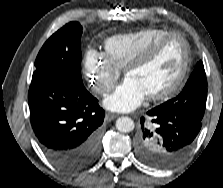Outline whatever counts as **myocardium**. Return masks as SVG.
I'll use <instances>...</instances> for the list:
<instances>
[{
    "mask_svg": "<svg viewBox=\"0 0 223 188\" xmlns=\"http://www.w3.org/2000/svg\"><path fill=\"white\" fill-rule=\"evenodd\" d=\"M172 37L179 38L184 46V60L180 73L176 80L169 87L162 90L161 92L148 95L147 98L150 101H163L169 99L176 95L184 86L190 72L192 61L190 44L185 36L175 31L163 34L148 46H146L143 50H141L124 68V73L126 76H128L130 71L147 62L156 53L160 46Z\"/></svg>",
    "mask_w": 223,
    "mask_h": 188,
    "instance_id": "obj_1",
    "label": "myocardium"
}]
</instances>
